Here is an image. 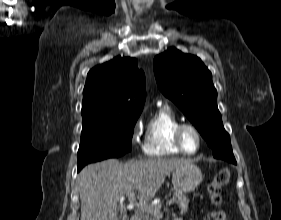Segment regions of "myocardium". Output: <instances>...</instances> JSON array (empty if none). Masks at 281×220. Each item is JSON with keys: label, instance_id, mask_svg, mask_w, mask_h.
<instances>
[{"label": "myocardium", "instance_id": "obj_1", "mask_svg": "<svg viewBox=\"0 0 281 220\" xmlns=\"http://www.w3.org/2000/svg\"><path fill=\"white\" fill-rule=\"evenodd\" d=\"M187 130L192 131L196 135L197 141H198L197 148L192 152L187 151L184 146V143H183V134ZM173 138H174V142H175L176 146L178 147V149L185 155H195L201 149L202 135H201L199 129L193 124L180 123L174 131Z\"/></svg>", "mask_w": 281, "mask_h": 220}]
</instances>
